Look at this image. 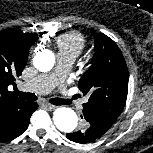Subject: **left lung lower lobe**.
<instances>
[{"label": "left lung lower lobe", "mask_w": 153, "mask_h": 153, "mask_svg": "<svg viewBox=\"0 0 153 153\" xmlns=\"http://www.w3.org/2000/svg\"><path fill=\"white\" fill-rule=\"evenodd\" d=\"M103 134H100L90 128H87L84 131H77L74 133L66 134V137L76 143H90L100 138Z\"/></svg>", "instance_id": "0a47b994"}]
</instances>
